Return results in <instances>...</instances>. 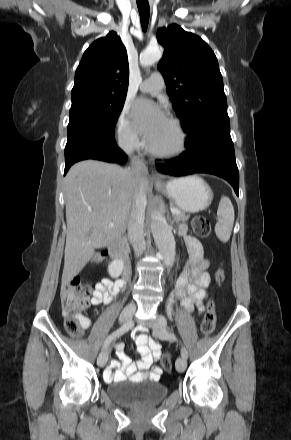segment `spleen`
<instances>
[{"mask_svg": "<svg viewBox=\"0 0 291 440\" xmlns=\"http://www.w3.org/2000/svg\"><path fill=\"white\" fill-rule=\"evenodd\" d=\"M217 215L218 222L215 225V233L220 241L226 243L230 239L234 224V208L228 197H221Z\"/></svg>", "mask_w": 291, "mask_h": 440, "instance_id": "1", "label": "spleen"}]
</instances>
